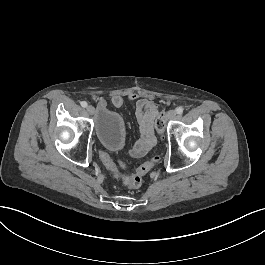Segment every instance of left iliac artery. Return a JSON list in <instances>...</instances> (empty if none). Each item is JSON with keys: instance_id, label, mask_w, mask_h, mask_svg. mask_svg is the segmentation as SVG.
<instances>
[{"instance_id": "44dca946", "label": "left iliac artery", "mask_w": 265, "mask_h": 265, "mask_svg": "<svg viewBox=\"0 0 265 265\" xmlns=\"http://www.w3.org/2000/svg\"><path fill=\"white\" fill-rule=\"evenodd\" d=\"M183 111H184L183 107H177V108H176V113H177V114H182Z\"/></svg>"}]
</instances>
